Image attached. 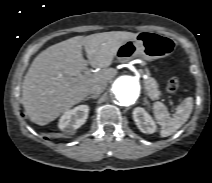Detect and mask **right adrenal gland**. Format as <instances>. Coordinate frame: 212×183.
Instances as JSON below:
<instances>
[{
    "label": "right adrenal gland",
    "instance_id": "2a0ac1e0",
    "mask_svg": "<svg viewBox=\"0 0 212 183\" xmlns=\"http://www.w3.org/2000/svg\"><path fill=\"white\" fill-rule=\"evenodd\" d=\"M97 98H98L97 95H90V96H87L84 100L97 99Z\"/></svg>",
    "mask_w": 212,
    "mask_h": 183
}]
</instances>
